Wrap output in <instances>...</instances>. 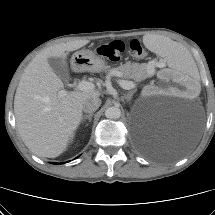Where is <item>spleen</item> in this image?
Here are the masks:
<instances>
[{
	"mask_svg": "<svg viewBox=\"0 0 215 215\" xmlns=\"http://www.w3.org/2000/svg\"><path fill=\"white\" fill-rule=\"evenodd\" d=\"M144 43L147 47H152L159 52L170 66L177 65L188 74L196 72L195 57L191 53H187L183 48H180L175 42L158 35L148 34L144 38Z\"/></svg>",
	"mask_w": 215,
	"mask_h": 215,
	"instance_id": "1",
	"label": "spleen"
}]
</instances>
